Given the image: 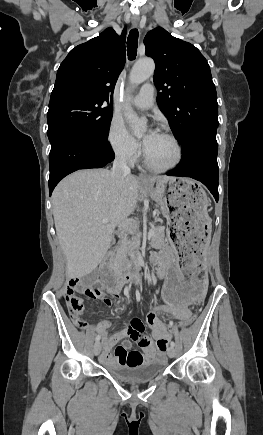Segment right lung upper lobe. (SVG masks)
Returning <instances> with one entry per match:
<instances>
[{"mask_svg":"<svg viewBox=\"0 0 263 435\" xmlns=\"http://www.w3.org/2000/svg\"><path fill=\"white\" fill-rule=\"evenodd\" d=\"M125 37L126 29L118 36L107 28L73 48L57 71L49 106L71 100H112L125 64Z\"/></svg>","mask_w":263,"mask_h":435,"instance_id":"right-lung-upper-lobe-1","label":"right lung upper lobe"}]
</instances>
